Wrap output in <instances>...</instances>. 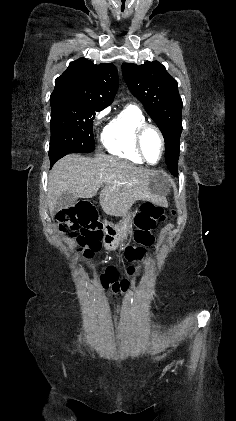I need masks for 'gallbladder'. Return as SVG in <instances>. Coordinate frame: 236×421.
Returning a JSON list of instances; mask_svg holds the SVG:
<instances>
[{
  "mask_svg": "<svg viewBox=\"0 0 236 421\" xmlns=\"http://www.w3.org/2000/svg\"><path fill=\"white\" fill-rule=\"evenodd\" d=\"M75 202H77V196L68 194V192H63V194H60V196L57 198V202L54 208V215L55 213H58V211H62V208H69V206H72V204H75Z\"/></svg>",
  "mask_w": 236,
  "mask_h": 421,
  "instance_id": "obj_1",
  "label": "gallbladder"
}]
</instances>
